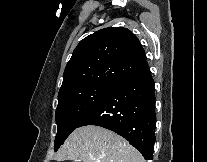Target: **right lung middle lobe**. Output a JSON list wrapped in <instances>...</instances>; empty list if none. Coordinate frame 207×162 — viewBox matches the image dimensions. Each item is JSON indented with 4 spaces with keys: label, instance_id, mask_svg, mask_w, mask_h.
I'll use <instances>...</instances> for the list:
<instances>
[{
    "label": "right lung middle lobe",
    "instance_id": "right-lung-middle-lobe-1",
    "mask_svg": "<svg viewBox=\"0 0 207 162\" xmlns=\"http://www.w3.org/2000/svg\"><path fill=\"white\" fill-rule=\"evenodd\" d=\"M113 84L80 87L58 95L55 151L82 120L112 91Z\"/></svg>",
    "mask_w": 207,
    "mask_h": 162
}]
</instances>
